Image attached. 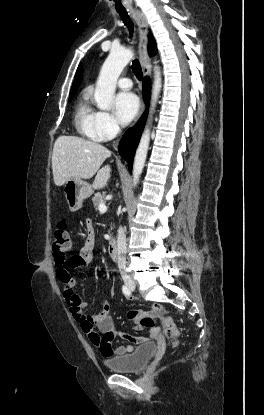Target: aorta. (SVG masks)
<instances>
[{"instance_id":"1","label":"aorta","mask_w":264,"mask_h":415,"mask_svg":"<svg viewBox=\"0 0 264 415\" xmlns=\"http://www.w3.org/2000/svg\"><path fill=\"white\" fill-rule=\"evenodd\" d=\"M133 53L129 49H112L100 70L96 83L94 98L99 109L110 110L114 101V94L117 80L124 67L129 63ZM161 74L159 69L155 70L154 84L151 97V113L153 112L156 102L161 91ZM150 143V129L147 127L141 137L140 143L136 150L133 164V184L136 186L139 182L140 175L145 166V161Z\"/></svg>"}]
</instances>
